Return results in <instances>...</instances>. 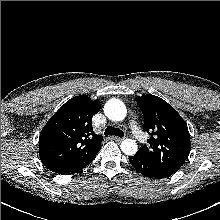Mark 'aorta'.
Here are the masks:
<instances>
[{
  "label": "aorta",
  "instance_id": "aorta-1",
  "mask_svg": "<svg viewBox=\"0 0 220 220\" xmlns=\"http://www.w3.org/2000/svg\"><path fill=\"white\" fill-rule=\"evenodd\" d=\"M105 115L112 121H122L127 114L124 103L118 99L109 100L104 106ZM121 150L129 156H133L138 151L137 143L134 140L126 139L122 141Z\"/></svg>",
  "mask_w": 220,
  "mask_h": 220
}]
</instances>
